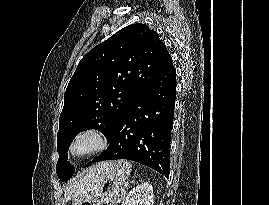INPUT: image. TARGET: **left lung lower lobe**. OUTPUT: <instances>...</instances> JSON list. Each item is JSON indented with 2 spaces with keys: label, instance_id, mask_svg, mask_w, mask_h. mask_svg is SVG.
<instances>
[{
  "label": "left lung lower lobe",
  "instance_id": "left-lung-lower-lobe-1",
  "mask_svg": "<svg viewBox=\"0 0 269 205\" xmlns=\"http://www.w3.org/2000/svg\"><path fill=\"white\" fill-rule=\"evenodd\" d=\"M176 70L170 56L163 69L121 114L107 136L110 145L86 166L104 160L128 159L168 178L174 119Z\"/></svg>",
  "mask_w": 269,
  "mask_h": 205
}]
</instances>
